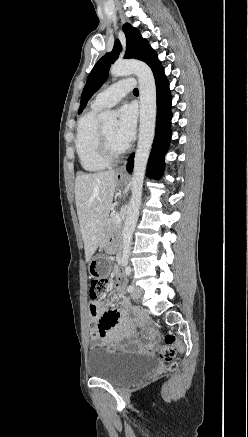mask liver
Listing matches in <instances>:
<instances>
[{"label": "liver", "instance_id": "1", "mask_svg": "<svg viewBox=\"0 0 248 437\" xmlns=\"http://www.w3.org/2000/svg\"><path fill=\"white\" fill-rule=\"evenodd\" d=\"M115 189L113 170L80 174L75 179V201L86 261L91 259L103 240Z\"/></svg>", "mask_w": 248, "mask_h": 437}]
</instances>
